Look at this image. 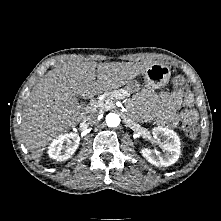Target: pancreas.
<instances>
[{"instance_id": "obj_1", "label": "pancreas", "mask_w": 221, "mask_h": 221, "mask_svg": "<svg viewBox=\"0 0 221 221\" xmlns=\"http://www.w3.org/2000/svg\"><path fill=\"white\" fill-rule=\"evenodd\" d=\"M129 92L125 89H119L111 92H106L102 95V99L96 102V108L99 111H107L115 108L114 102L118 99H125L129 97ZM126 105L129 108L132 106V101L130 99H126Z\"/></svg>"}]
</instances>
